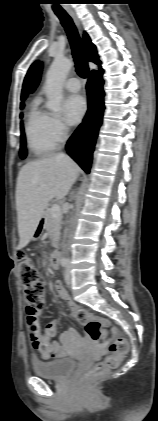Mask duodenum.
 <instances>
[{
    "label": "duodenum",
    "mask_w": 158,
    "mask_h": 421,
    "mask_svg": "<svg viewBox=\"0 0 158 421\" xmlns=\"http://www.w3.org/2000/svg\"><path fill=\"white\" fill-rule=\"evenodd\" d=\"M61 261H62L61 252H59V251L54 252L52 254V256H51V265H52V267L55 268V269L58 268L59 265H60V263H61Z\"/></svg>",
    "instance_id": "obj_1"
}]
</instances>
